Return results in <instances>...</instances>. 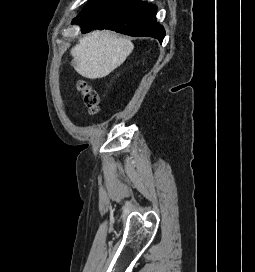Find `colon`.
Masks as SVG:
<instances>
[{
  "label": "colon",
  "mask_w": 255,
  "mask_h": 272,
  "mask_svg": "<svg viewBox=\"0 0 255 272\" xmlns=\"http://www.w3.org/2000/svg\"><path fill=\"white\" fill-rule=\"evenodd\" d=\"M78 88L83 96L84 103L89 112L96 114L99 111V96L91 87L86 83L80 82Z\"/></svg>",
  "instance_id": "5ec220e1"
}]
</instances>
